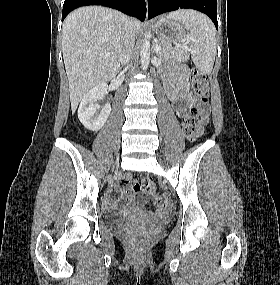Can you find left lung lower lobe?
Returning <instances> with one entry per match:
<instances>
[{"label": "left lung lower lobe", "mask_w": 280, "mask_h": 285, "mask_svg": "<svg viewBox=\"0 0 280 285\" xmlns=\"http://www.w3.org/2000/svg\"><path fill=\"white\" fill-rule=\"evenodd\" d=\"M177 9L201 11L211 18L218 29L217 0H148V19Z\"/></svg>", "instance_id": "left-lung-lower-lobe-1"}]
</instances>
